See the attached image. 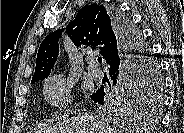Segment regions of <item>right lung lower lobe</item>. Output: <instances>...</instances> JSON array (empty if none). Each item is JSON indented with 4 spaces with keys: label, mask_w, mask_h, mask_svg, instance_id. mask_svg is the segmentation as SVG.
<instances>
[{
    "label": "right lung lower lobe",
    "mask_w": 184,
    "mask_h": 133,
    "mask_svg": "<svg viewBox=\"0 0 184 133\" xmlns=\"http://www.w3.org/2000/svg\"><path fill=\"white\" fill-rule=\"evenodd\" d=\"M111 15L114 28L120 38V48L115 57L107 64L110 65L109 74L113 79V83H117L116 97H121L126 93L129 80L139 73L140 62L137 61L136 51L142 48L132 37L131 28L127 25L125 17L116 10L111 11ZM147 54L149 55L148 51ZM116 78L117 81H115ZM90 97L95 103L103 105L105 101L104 89L100 88Z\"/></svg>",
    "instance_id": "1"
}]
</instances>
